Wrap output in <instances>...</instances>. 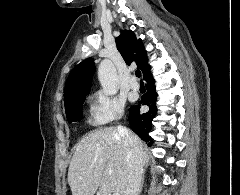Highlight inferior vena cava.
<instances>
[{
  "mask_svg": "<svg viewBox=\"0 0 240 195\" xmlns=\"http://www.w3.org/2000/svg\"><path fill=\"white\" fill-rule=\"evenodd\" d=\"M117 131L122 137V141L128 151L129 175L127 177V185L124 195H139V189L143 175V163L141 161L139 145L132 137L131 131L125 129L122 125H118Z\"/></svg>",
  "mask_w": 240,
  "mask_h": 195,
  "instance_id": "1",
  "label": "inferior vena cava"
}]
</instances>
